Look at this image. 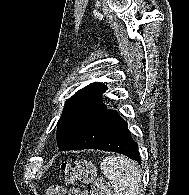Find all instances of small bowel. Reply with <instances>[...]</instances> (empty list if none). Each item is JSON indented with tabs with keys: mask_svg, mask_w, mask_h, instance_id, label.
Instances as JSON below:
<instances>
[{
	"mask_svg": "<svg viewBox=\"0 0 189 195\" xmlns=\"http://www.w3.org/2000/svg\"><path fill=\"white\" fill-rule=\"evenodd\" d=\"M80 195H89V192L87 190H85Z\"/></svg>",
	"mask_w": 189,
	"mask_h": 195,
	"instance_id": "obj_1",
	"label": "small bowel"
}]
</instances>
